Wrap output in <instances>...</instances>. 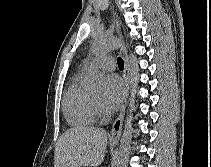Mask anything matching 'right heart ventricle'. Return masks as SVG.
I'll return each mask as SVG.
<instances>
[{"label":"right heart ventricle","instance_id":"e07e8e85","mask_svg":"<svg viewBox=\"0 0 211 167\" xmlns=\"http://www.w3.org/2000/svg\"><path fill=\"white\" fill-rule=\"evenodd\" d=\"M87 73V68L83 67L73 77L64 97L63 110L65 118L74 126H89L96 121V114L90 101L91 95L83 86Z\"/></svg>","mask_w":211,"mask_h":167}]
</instances>
